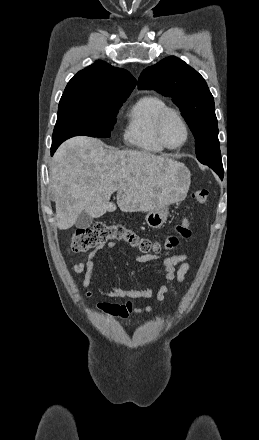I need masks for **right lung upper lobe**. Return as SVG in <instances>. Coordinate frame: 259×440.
Instances as JSON below:
<instances>
[{
	"mask_svg": "<svg viewBox=\"0 0 259 440\" xmlns=\"http://www.w3.org/2000/svg\"><path fill=\"white\" fill-rule=\"evenodd\" d=\"M136 83L128 71L97 61L68 82L61 99L110 103L127 98Z\"/></svg>",
	"mask_w": 259,
	"mask_h": 440,
	"instance_id": "cb5924a9",
	"label": "right lung upper lobe"
}]
</instances>
